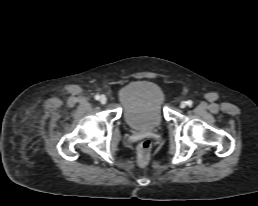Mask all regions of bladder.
Listing matches in <instances>:
<instances>
[{
    "instance_id": "bladder-1",
    "label": "bladder",
    "mask_w": 258,
    "mask_h": 206,
    "mask_svg": "<svg viewBox=\"0 0 258 206\" xmlns=\"http://www.w3.org/2000/svg\"><path fill=\"white\" fill-rule=\"evenodd\" d=\"M125 123L135 130H153L164 120V94L151 81H134L118 92Z\"/></svg>"
}]
</instances>
